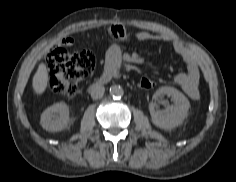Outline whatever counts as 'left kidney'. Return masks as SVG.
<instances>
[{"mask_svg":"<svg viewBox=\"0 0 236 182\" xmlns=\"http://www.w3.org/2000/svg\"><path fill=\"white\" fill-rule=\"evenodd\" d=\"M164 95L171 97L174 106L164 111L155 110L156 103L149 104L152 123L161 129L169 130L183 123L190 108L189 100L185 95L173 87H161L153 95V100L157 101Z\"/></svg>","mask_w":236,"mask_h":182,"instance_id":"1","label":"left kidney"}]
</instances>
